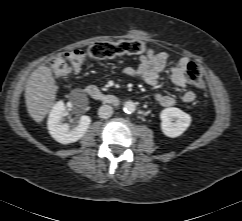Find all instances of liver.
<instances>
[{
    "label": "liver",
    "mask_w": 242,
    "mask_h": 221,
    "mask_svg": "<svg viewBox=\"0 0 242 221\" xmlns=\"http://www.w3.org/2000/svg\"><path fill=\"white\" fill-rule=\"evenodd\" d=\"M58 86L47 66H39L29 77L25 89V101L29 115L41 123L56 99Z\"/></svg>",
    "instance_id": "obj_1"
}]
</instances>
